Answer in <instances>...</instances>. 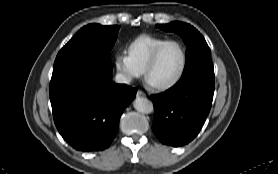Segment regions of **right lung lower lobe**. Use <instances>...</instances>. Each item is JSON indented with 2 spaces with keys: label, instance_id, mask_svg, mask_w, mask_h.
Returning <instances> with one entry per match:
<instances>
[{
  "label": "right lung lower lobe",
  "instance_id": "obj_1",
  "mask_svg": "<svg viewBox=\"0 0 278 174\" xmlns=\"http://www.w3.org/2000/svg\"><path fill=\"white\" fill-rule=\"evenodd\" d=\"M137 90L112 82L111 73L69 67L52 74L50 100L55 125L75 149L103 150Z\"/></svg>",
  "mask_w": 278,
  "mask_h": 174
}]
</instances>
